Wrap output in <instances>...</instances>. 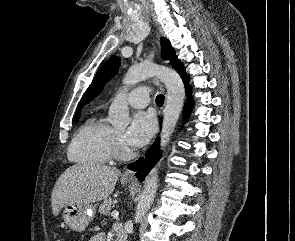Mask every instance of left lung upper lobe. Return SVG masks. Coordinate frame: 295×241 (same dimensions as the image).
Listing matches in <instances>:
<instances>
[{
    "label": "left lung upper lobe",
    "mask_w": 295,
    "mask_h": 241,
    "mask_svg": "<svg viewBox=\"0 0 295 241\" xmlns=\"http://www.w3.org/2000/svg\"><path fill=\"white\" fill-rule=\"evenodd\" d=\"M161 50L163 59L170 60L171 65L178 71L180 75H182V79L184 80L186 77H188L185 75L183 64L180 62V60H178L174 49L171 47L170 42L166 38H161ZM119 66L120 58L117 56L111 57L105 62V64H103L83 95L82 102L84 104L90 102L103 90L104 84L118 72Z\"/></svg>",
    "instance_id": "obj_1"
}]
</instances>
